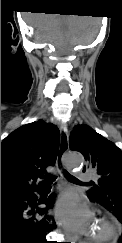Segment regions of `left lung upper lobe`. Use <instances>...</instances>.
Masks as SVG:
<instances>
[{"label": "left lung upper lobe", "instance_id": "1", "mask_svg": "<svg viewBox=\"0 0 122 243\" xmlns=\"http://www.w3.org/2000/svg\"><path fill=\"white\" fill-rule=\"evenodd\" d=\"M69 146L81 152L101 176L98 184L87 191L89 199L104 206L122 223V199L115 200L113 192L115 187L122 186V151L87 125L74 127Z\"/></svg>", "mask_w": 122, "mask_h": 243}]
</instances>
